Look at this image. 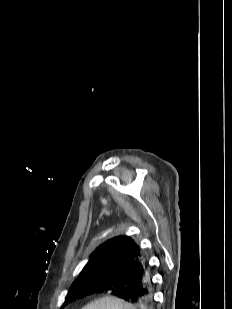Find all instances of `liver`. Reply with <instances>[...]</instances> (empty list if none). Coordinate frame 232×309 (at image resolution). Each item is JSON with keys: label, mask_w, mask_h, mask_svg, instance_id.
<instances>
[{"label": "liver", "mask_w": 232, "mask_h": 309, "mask_svg": "<svg viewBox=\"0 0 232 309\" xmlns=\"http://www.w3.org/2000/svg\"><path fill=\"white\" fill-rule=\"evenodd\" d=\"M82 309H137L136 306L113 296H106L95 300Z\"/></svg>", "instance_id": "1"}]
</instances>
